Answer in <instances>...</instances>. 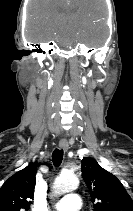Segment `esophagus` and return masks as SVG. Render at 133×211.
<instances>
[{"label":"esophagus","mask_w":133,"mask_h":211,"mask_svg":"<svg viewBox=\"0 0 133 211\" xmlns=\"http://www.w3.org/2000/svg\"><path fill=\"white\" fill-rule=\"evenodd\" d=\"M59 148L63 149L64 151H67L69 149L68 142L65 140H62L59 142Z\"/></svg>","instance_id":"obj_1"}]
</instances>
